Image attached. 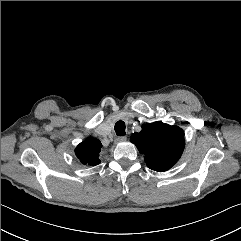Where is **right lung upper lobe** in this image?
Segmentation results:
<instances>
[{"label":"right lung upper lobe","mask_w":241,"mask_h":241,"mask_svg":"<svg viewBox=\"0 0 241 241\" xmlns=\"http://www.w3.org/2000/svg\"><path fill=\"white\" fill-rule=\"evenodd\" d=\"M101 147L99 140L87 138L76 147L75 154L81 163L95 166L101 162L98 158Z\"/></svg>","instance_id":"right-lung-upper-lobe-1"}]
</instances>
